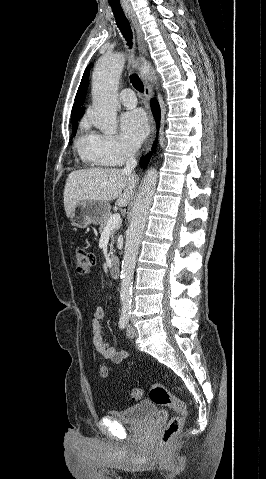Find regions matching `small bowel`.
Instances as JSON below:
<instances>
[{
  "label": "small bowel",
  "instance_id": "1",
  "mask_svg": "<svg viewBox=\"0 0 266 479\" xmlns=\"http://www.w3.org/2000/svg\"><path fill=\"white\" fill-rule=\"evenodd\" d=\"M103 317L104 309L102 307H97L94 311L92 319L94 347L102 357L109 359L113 363H121L127 357L128 352L126 350L117 349L105 340L100 324V321Z\"/></svg>",
  "mask_w": 266,
  "mask_h": 479
}]
</instances>
